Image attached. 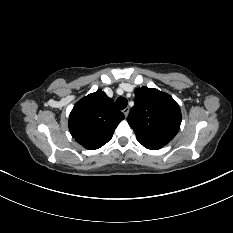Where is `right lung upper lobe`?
Returning a JSON list of instances; mask_svg holds the SVG:
<instances>
[{
    "instance_id": "right-lung-upper-lobe-1",
    "label": "right lung upper lobe",
    "mask_w": 233,
    "mask_h": 233,
    "mask_svg": "<svg viewBox=\"0 0 233 233\" xmlns=\"http://www.w3.org/2000/svg\"><path fill=\"white\" fill-rule=\"evenodd\" d=\"M124 119L114 101L101 90L82 98L69 116V130L76 141L88 150L102 147L112 138Z\"/></svg>"
}]
</instances>
